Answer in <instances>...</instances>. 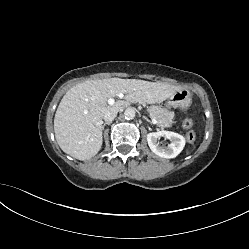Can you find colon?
<instances>
[{
  "mask_svg": "<svg viewBox=\"0 0 249 249\" xmlns=\"http://www.w3.org/2000/svg\"><path fill=\"white\" fill-rule=\"evenodd\" d=\"M182 125H183V127L185 129L188 130V132H187V139H188V141L190 143L194 142L195 138H196V134H195L194 130L191 129L192 126H193V120L191 118L187 117V118H185L183 120V124Z\"/></svg>",
  "mask_w": 249,
  "mask_h": 249,
  "instance_id": "obj_1",
  "label": "colon"
}]
</instances>
